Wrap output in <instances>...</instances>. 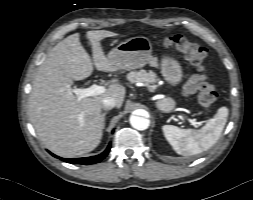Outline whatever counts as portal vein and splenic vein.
<instances>
[{"mask_svg":"<svg viewBox=\"0 0 253 200\" xmlns=\"http://www.w3.org/2000/svg\"><path fill=\"white\" fill-rule=\"evenodd\" d=\"M105 87L97 84H93L88 88H72L71 91L77 95L78 99L81 100L90 96H97L105 92ZM194 127H198V122L195 119H187Z\"/></svg>","mask_w":253,"mask_h":200,"instance_id":"1","label":"portal vein and splenic vein"}]
</instances>
